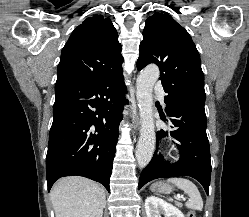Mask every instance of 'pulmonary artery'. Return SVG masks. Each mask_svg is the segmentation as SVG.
<instances>
[{"label": "pulmonary artery", "mask_w": 249, "mask_h": 217, "mask_svg": "<svg viewBox=\"0 0 249 217\" xmlns=\"http://www.w3.org/2000/svg\"><path fill=\"white\" fill-rule=\"evenodd\" d=\"M153 91L158 97H160L161 101L164 103V91L161 85L156 84Z\"/></svg>", "instance_id": "pulmonary-artery-1"}]
</instances>
